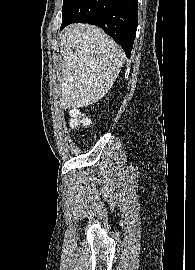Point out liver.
Wrapping results in <instances>:
<instances>
[{"mask_svg": "<svg viewBox=\"0 0 195 270\" xmlns=\"http://www.w3.org/2000/svg\"><path fill=\"white\" fill-rule=\"evenodd\" d=\"M60 46L62 107H84L102 99L123 65L119 45L99 27L74 24L60 34Z\"/></svg>", "mask_w": 195, "mask_h": 270, "instance_id": "1", "label": "liver"}]
</instances>
